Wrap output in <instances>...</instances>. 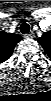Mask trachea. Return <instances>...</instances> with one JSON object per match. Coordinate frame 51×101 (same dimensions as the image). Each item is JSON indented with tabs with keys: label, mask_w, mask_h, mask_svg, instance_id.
Listing matches in <instances>:
<instances>
[{
	"label": "trachea",
	"mask_w": 51,
	"mask_h": 101,
	"mask_svg": "<svg viewBox=\"0 0 51 101\" xmlns=\"http://www.w3.org/2000/svg\"><path fill=\"white\" fill-rule=\"evenodd\" d=\"M30 31V26H29V24H27V23H22L21 25H20V32L22 33V34H27L28 32Z\"/></svg>",
	"instance_id": "3493384b"
}]
</instances>
